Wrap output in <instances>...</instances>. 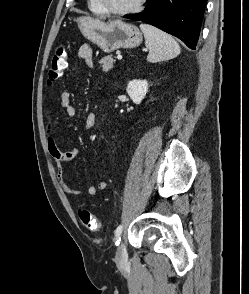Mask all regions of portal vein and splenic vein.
<instances>
[{
    "label": "portal vein and splenic vein",
    "instance_id": "1",
    "mask_svg": "<svg viewBox=\"0 0 249 294\" xmlns=\"http://www.w3.org/2000/svg\"><path fill=\"white\" fill-rule=\"evenodd\" d=\"M117 59H118V60H121V59H122V56H121L120 54H118V55H117Z\"/></svg>",
    "mask_w": 249,
    "mask_h": 294
}]
</instances>
